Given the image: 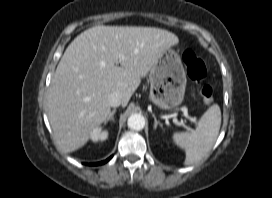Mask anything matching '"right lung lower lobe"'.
Listing matches in <instances>:
<instances>
[{"mask_svg":"<svg viewBox=\"0 0 272 198\" xmlns=\"http://www.w3.org/2000/svg\"><path fill=\"white\" fill-rule=\"evenodd\" d=\"M111 158H112V156L109 157L108 159H106L105 161L98 162V163H92V164H90V165H101V164H104V163L108 162Z\"/></svg>","mask_w":272,"mask_h":198,"instance_id":"98d812e1","label":"right lung lower lobe"}]
</instances>
